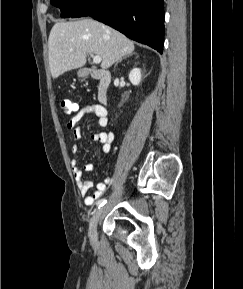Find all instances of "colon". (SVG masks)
I'll list each match as a JSON object with an SVG mask.
<instances>
[{
	"instance_id": "1",
	"label": "colon",
	"mask_w": 243,
	"mask_h": 289,
	"mask_svg": "<svg viewBox=\"0 0 243 289\" xmlns=\"http://www.w3.org/2000/svg\"><path fill=\"white\" fill-rule=\"evenodd\" d=\"M60 106L63 112L67 115L74 114L78 109L77 103L70 99H63L60 103Z\"/></svg>"
}]
</instances>
